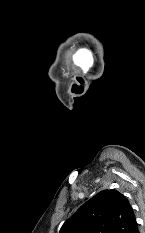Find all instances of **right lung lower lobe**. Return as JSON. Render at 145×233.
<instances>
[{
    "label": "right lung lower lobe",
    "instance_id": "obj_1",
    "mask_svg": "<svg viewBox=\"0 0 145 233\" xmlns=\"http://www.w3.org/2000/svg\"><path fill=\"white\" fill-rule=\"evenodd\" d=\"M132 233H139L138 225H136V227H135V229L132 231Z\"/></svg>",
    "mask_w": 145,
    "mask_h": 233
}]
</instances>
